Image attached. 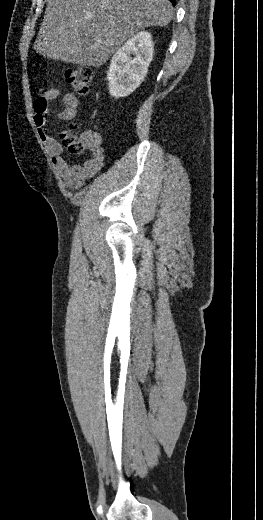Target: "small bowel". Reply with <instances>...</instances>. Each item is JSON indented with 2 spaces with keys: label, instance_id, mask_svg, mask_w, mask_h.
<instances>
[{
  "label": "small bowel",
  "instance_id": "obj_1",
  "mask_svg": "<svg viewBox=\"0 0 263 520\" xmlns=\"http://www.w3.org/2000/svg\"><path fill=\"white\" fill-rule=\"evenodd\" d=\"M55 101H58L63 107L58 113L60 120H71L76 115L79 106L78 98L72 93L61 95L58 89L52 88L40 92L35 99L33 104V120L38 134L51 156L52 164L60 175L61 181L66 187L77 189L82 186L87 179L99 172L103 166L101 137L97 132L86 131L83 134V138L93 148L94 157L81 163L69 165L62 157L63 148L61 144L46 131L47 114L50 111L51 103Z\"/></svg>",
  "mask_w": 263,
  "mask_h": 520
}]
</instances>
